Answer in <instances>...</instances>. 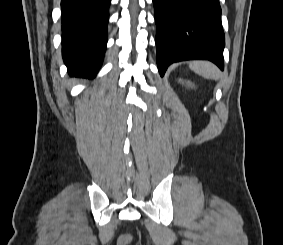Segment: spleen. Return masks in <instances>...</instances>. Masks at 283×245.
<instances>
[{
	"label": "spleen",
	"mask_w": 283,
	"mask_h": 245,
	"mask_svg": "<svg viewBox=\"0 0 283 245\" xmlns=\"http://www.w3.org/2000/svg\"><path fill=\"white\" fill-rule=\"evenodd\" d=\"M189 67L195 73L207 79H219V70L215 65L208 61H194L190 63Z\"/></svg>",
	"instance_id": "1"
}]
</instances>
